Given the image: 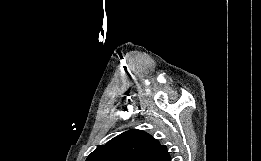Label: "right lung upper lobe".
<instances>
[{
  "label": "right lung upper lobe",
  "mask_w": 261,
  "mask_h": 161,
  "mask_svg": "<svg viewBox=\"0 0 261 161\" xmlns=\"http://www.w3.org/2000/svg\"><path fill=\"white\" fill-rule=\"evenodd\" d=\"M166 146L149 134L132 129L99 145L86 161H168Z\"/></svg>",
  "instance_id": "cb5924a9"
}]
</instances>
